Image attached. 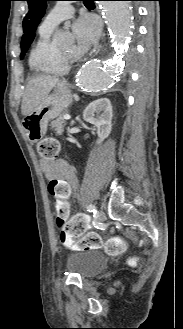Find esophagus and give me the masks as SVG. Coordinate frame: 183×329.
I'll use <instances>...</instances> for the list:
<instances>
[{"instance_id":"1","label":"esophagus","mask_w":183,"mask_h":329,"mask_svg":"<svg viewBox=\"0 0 183 329\" xmlns=\"http://www.w3.org/2000/svg\"><path fill=\"white\" fill-rule=\"evenodd\" d=\"M102 21V27L104 28V23H103V20H101ZM104 35V34H103Z\"/></svg>"}]
</instances>
